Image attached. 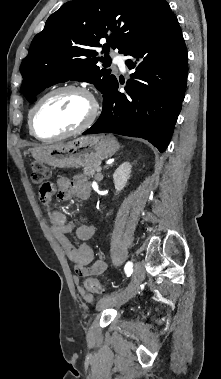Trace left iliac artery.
<instances>
[{
    "label": "left iliac artery",
    "instance_id": "44dca946",
    "mask_svg": "<svg viewBox=\"0 0 221 379\" xmlns=\"http://www.w3.org/2000/svg\"><path fill=\"white\" fill-rule=\"evenodd\" d=\"M133 263L131 261H128L124 267V271L127 276H130L133 271Z\"/></svg>",
    "mask_w": 221,
    "mask_h": 379
}]
</instances>
